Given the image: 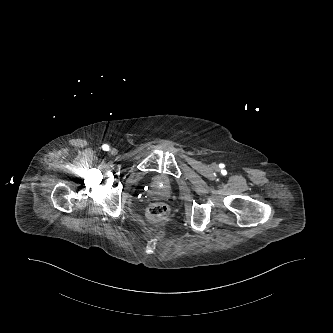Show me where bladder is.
<instances>
[{"label":"bladder","mask_w":333,"mask_h":333,"mask_svg":"<svg viewBox=\"0 0 333 333\" xmlns=\"http://www.w3.org/2000/svg\"><path fill=\"white\" fill-rule=\"evenodd\" d=\"M154 181H155L156 186L160 189L169 188L170 183H169V180L165 176L159 175L154 179Z\"/></svg>","instance_id":"31cf9c89"}]
</instances>
